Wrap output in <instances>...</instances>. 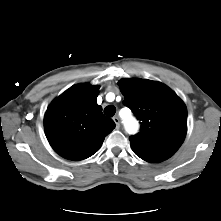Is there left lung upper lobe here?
<instances>
[{
    "label": "left lung upper lobe",
    "mask_w": 221,
    "mask_h": 221,
    "mask_svg": "<svg viewBox=\"0 0 221 221\" xmlns=\"http://www.w3.org/2000/svg\"><path fill=\"white\" fill-rule=\"evenodd\" d=\"M118 85L128 106L141 121L140 132L130 137L133 152L147 162H161L181 146L187 132V109L163 83L122 79Z\"/></svg>",
    "instance_id": "1"
}]
</instances>
